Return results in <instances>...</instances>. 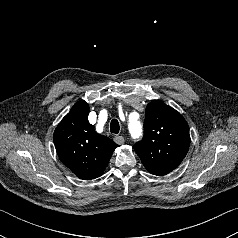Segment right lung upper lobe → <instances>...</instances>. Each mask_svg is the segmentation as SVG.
Here are the masks:
<instances>
[{"label": "right lung upper lobe", "instance_id": "obj_1", "mask_svg": "<svg viewBox=\"0 0 238 238\" xmlns=\"http://www.w3.org/2000/svg\"><path fill=\"white\" fill-rule=\"evenodd\" d=\"M89 105L77 102L55 129L53 140L57 154L77 177H100L118 145L98 134L88 121Z\"/></svg>", "mask_w": 238, "mask_h": 238}]
</instances>
